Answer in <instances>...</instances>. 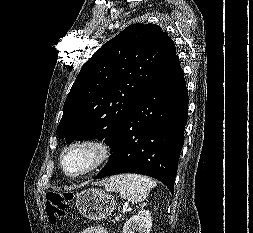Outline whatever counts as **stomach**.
<instances>
[{"label":"stomach","instance_id":"stomach-1","mask_svg":"<svg viewBox=\"0 0 253 233\" xmlns=\"http://www.w3.org/2000/svg\"><path fill=\"white\" fill-rule=\"evenodd\" d=\"M76 206L86 218L101 220L116 209L114 198L102 189L88 188L76 195Z\"/></svg>","mask_w":253,"mask_h":233}]
</instances>
